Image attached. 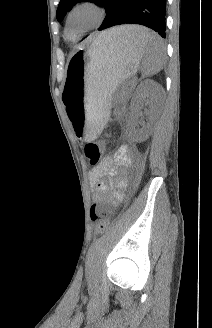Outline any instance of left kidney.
I'll list each match as a JSON object with an SVG mask.
<instances>
[{"label":"left kidney","mask_w":212,"mask_h":328,"mask_svg":"<svg viewBox=\"0 0 212 328\" xmlns=\"http://www.w3.org/2000/svg\"><path fill=\"white\" fill-rule=\"evenodd\" d=\"M159 97V85L152 81L146 80L141 83L134 92L131 100V114L128 120L130 129L134 132L135 140L138 142L147 139L153 131V122L149 121L143 124L141 129H135L138 124V112L143 105L152 104Z\"/></svg>","instance_id":"obj_1"}]
</instances>
